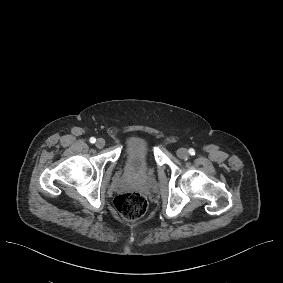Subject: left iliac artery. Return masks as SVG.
<instances>
[{
    "label": "left iliac artery",
    "instance_id": "left-iliac-artery-1",
    "mask_svg": "<svg viewBox=\"0 0 283 283\" xmlns=\"http://www.w3.org/2000/svg\"><path fill=\"white\" fill-rule=\"evenodd\" d=\"M189 154H190V155H195V150H194L193 148H190V149H189Z\"/></svg>",
    "mask_w": 283,
    "mask_h": 283
}]
</instances>
